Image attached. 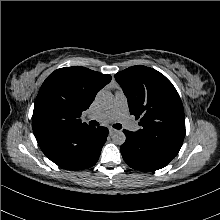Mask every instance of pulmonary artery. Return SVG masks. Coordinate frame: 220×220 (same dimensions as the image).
Segmentation results:
<instances>
[{"label":"pulmonary artery","instance_id":"e3ab8cb5","mask_svg":"<svg viewBox=\"0 0 220 220\" xmlns=\"http://www.w3.org/2000/svg\"><path fill=\"white\" fill-rule=\"evenodd\" d=\"M87 119L95 120L100 123H109L117 120L130 131H136L138 129V126L128 115L127 98L122 90L115 92L114 103L109 110L97 115L88 116Z\"/></svg>","mask_w":220,"mask_h":220}]
</instances>
